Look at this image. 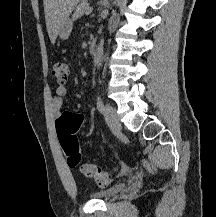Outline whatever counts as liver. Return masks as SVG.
Instances as JSON below:
<instances>
[{
	"label": "liver",
	"mask_w": 216,
	"mask_h": 217,
	"mask_svg": "<svg viewBox=\"0 0 216 217\" xmlns=\"http://www.w3.org/2000/svg\"><path fill=\"white\" fill-rule=\"evenodd\" d=\"M79 2L80 0H43L47 32L52 44L55 43L63 23Z\"/></svg>",
	"instance_id": "6515ba94"
}]
</instances>
